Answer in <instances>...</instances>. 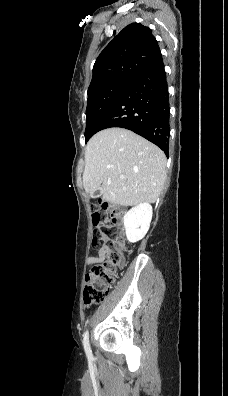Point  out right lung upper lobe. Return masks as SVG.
<instances>
[{"mask_svg":"<svg viewBox=\"0 0 228 396\" xmlns=\"http://www.w3.org/2000/svg\"><path fill=\"white\" fill-rule=\"evenodd\" d=\"M160 54L159 45L151 29L140 23H131L96 59L88 90L112 82L131 83Z\"/></svg>","mask_w":228,"mask_h":396,"instance_id":"1","label":"right lung upper lobe"}]
</instances>
